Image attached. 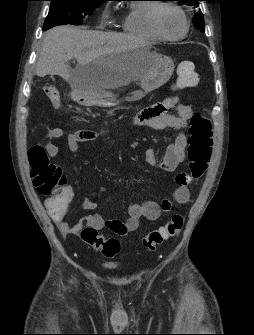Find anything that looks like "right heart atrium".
I'll return each mask as SVG.
<instances>
[{
    "mask_svg": "<svg viewBox=\"0 0 254 335\" xmlns=\"http://www.w3.org/2000/svg\"><path fill=\"white\" fill-rule=\"evenodd\" d=\"M107 15V9L104 11V16H106Z\"/></svg>",
    "mask_w": 254,
    "mask_h": 335,
    "instance_id": "d8ad5b80",
    "label": "right heart atrium"
}]
</instances>
